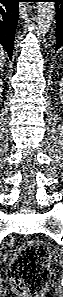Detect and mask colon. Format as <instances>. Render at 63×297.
Segmentation results:
<instances>
[{
	"label": "colon",
	"mask_w": 63,
	"mask_h": 297,
	"mask_svg": "<svg viewBox=\"0 0 63 297\" xmlns=\"http://www.w3.org/2000/svg\"><path fill=\"white\" fill-rule=\"evenodd\" d=\"M49 253L40 241L31 240L21 246L9 268L13 290L27 297H37L48 286Z\"/></svg>",
	"instance_id": "obj_1"
}]
</instances>
